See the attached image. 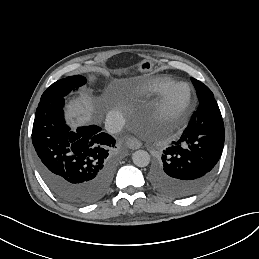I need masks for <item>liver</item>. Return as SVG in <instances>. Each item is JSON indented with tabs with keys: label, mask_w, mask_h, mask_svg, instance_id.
I'll use <instances>...</instances> for the list:
<instances>
[{
	"label": "liver",
	"mask_w": 259,
	"mask_h": 259,
	"mask_svg": "<svg viewBox=\"0 0 259 259\" xmlns=\"http://www.w3.org/2000/svg\"><path fill=\"white\" fill-rule=\"evenodd\" d=\"M66 117L73 127L86 124L90 120L87 109L79 101L67 106Z\"/></svg>",
	"instance_id": "obj_1"
}]
</instances>
